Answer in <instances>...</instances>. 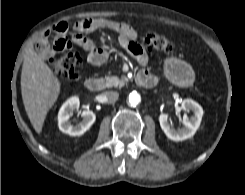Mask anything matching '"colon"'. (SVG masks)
Masks as SVG:
<instances>
[{
    "mask_svg": "<svg viewBox=\"0 0 245 195\" xmlns=\"http://www.w3.org/2000/svg\"><path fill=\"white\" fill-rule=\"evenodd\" d=\"M143 42L145 46L152 51H162L166 53H172L174 51L173 43L159 32L147 33ZM82 63V58L78 53L68 52L58 58L52 59L50 66L55 75L69 80H75L78 78Z\"/></svg>",
    "mask_w": 245,
    "mask_h": 195,
    "instance_id": "5ec220e1",
    "label": "colon"
}]
</instances>
